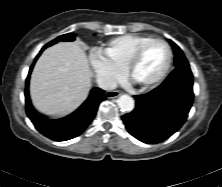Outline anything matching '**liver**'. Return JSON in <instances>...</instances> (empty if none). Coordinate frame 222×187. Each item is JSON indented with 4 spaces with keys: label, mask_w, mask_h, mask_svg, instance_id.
<instances>
[{
    "label": "liver",
    "mask_w": 222,
    "mask_h": 187,
    "mask_svg": "<svg viewBox=\"0 0 222 187\" xmlns=\"http://www.w3.org/2000/svg\"><path fill=\"white\" fill-rule=\"evenodd\" d=\"M91 76L87 56L79 44L53 45L42 53L32 72V102L47 115L65 116L86 99Z\"/></svg>",
    "instance_id": "6515ba94"
}]
</instances>
